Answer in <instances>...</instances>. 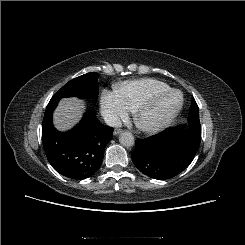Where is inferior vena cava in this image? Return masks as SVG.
Segmentation results:
<instances>
[{
	"label": "inferior vena cava",
	"mask_w": 245,
	"mask_h": 245,
	"mask_svg": "<svg viewBox=\"0 0 245 245\" xmlns=\"http://www.w3.org/2000/svg\"><path fill=\"white\" fill-rule=\"evenodd\" d=\"M104 121L105 123L110 126V127H115V128H119L122 126L121 120L118 116L116 115H106L104 117Z\"/></svg>",
	"instance_id": "1"
}]
</instances>
